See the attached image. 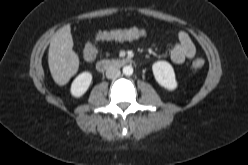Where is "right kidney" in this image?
Listing matches in <instances>:
<instances>
[{
  "label": "right kidney",
  "instance_id": "1",
  "mask_svg": "<svg viewBox=\"0 0 248 165\" xmlns=\"http://www.w3.org/2000/svg\"><path fill=\"white\" fill-rule=\"evenodd\" d=\"M92 82V74L90 72H83L79 74L71 85V94L74 97H81L88 90Z\"/></svg>",
  "mask_w": 248,
  "mask_h": 165
}]
</instances>
